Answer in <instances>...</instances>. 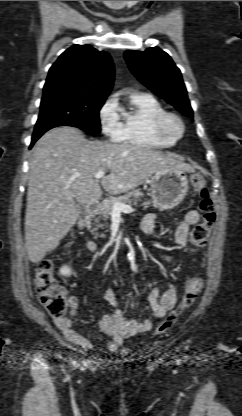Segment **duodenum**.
<instances>
[{
  "instance_id": "1",
  "label": "duodenum",
  "mask_w": 242,
  "mask_h": 416,
  "mask_svg": "<svg viewBox=\"0 0 242 416\" xmlns=\"http://www.w3.org/2000/svg\"><path fill=\"white\" fill-rule=\"evenodd\" d=\"M98 208H99L98 202H92L89 204L85 216L80 220V223H79L80 231H82L85 228L87 219L91 217ZM87 244L92 252H96L97 250L96 245L91 240L87 239Z\"/></svg>"
}]
</instances>
